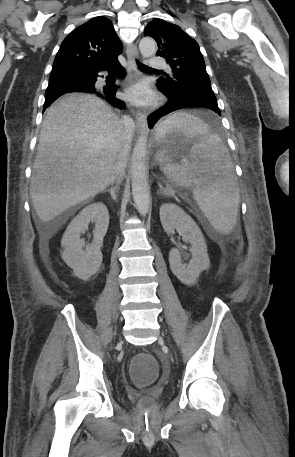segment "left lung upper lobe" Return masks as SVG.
I'll return each instance as SVG.
<instances>
[{
  "label": "left lung upper lobe",
  "mask_w": 295,
  "mask_h": 457,
  "mask_svg": "<svg viewBox=\"0 0 295 457\" xmlns=\"http://www.w3.org/2000/svg\"><path fill=\"white\" fill-rule=\"evenodd\" d=\"M144 35L156 40L159 48L156 55L165 58L172 68L166 78L158 80L160 91L176 97L214 94L198 43L179 26L154 19L146 26Z\"/></svg>",
  "instance_id": "1"
}]
</instances>
